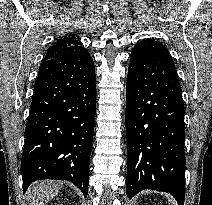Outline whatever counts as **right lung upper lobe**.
<instances>
[{
    "mask_svg": "<svg viewBox=\"0 0 212 205\" xmlns=\"http://www.w3.org/2000/svg\"><path fill=\"white\" fill-rule=\"evenodd\" d=\"M66 56H89L78 36L69 34L60 37L46 52L44 60Z\"/></svg>",
    "mask_w": 212,
    "mask_h": 205,
    "instance_id": "right-lung-upper-lobe-1",
    "label": "right lung upper lobe"
}]
</instances>
